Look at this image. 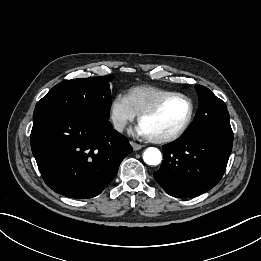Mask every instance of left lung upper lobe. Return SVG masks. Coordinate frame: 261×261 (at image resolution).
Wrapping results in <instances>:
<instances>
[{"instance_id": "obj_1", "label": "left lung upper lobe", "mask_w": 261, "mask_h": 261, "mask_svg": "<svg viewBox=\"0 0 261 261\" xmlns=\"http://www.w3.org/2000/svg\"><path fill=\"white\" fill-rule=\"evenodd\" d=\"M196 91L199 96V109L193 123L182 136L231 129L225 103L204 86L196 85Z\"/></svg>"}]
</instances>
